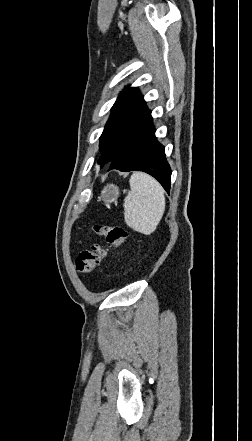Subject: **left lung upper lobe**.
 <instances>
[{
	"instance_id": "1",
	"label": "left lung upper lobe",
	"mask_w": 252,
	"mask_h": 441,
	"mask_svg": "<svg viewBox=\"0 0 252 441\" xmlns=\"http://www.w3.org/2000/svg\"><path fill=\"white\" fill-rule=\"evenodd\" d=\"M146 103L137 88H125L112 107V114L100 137L101 167L110 163L128 130L143 112Z\"/></svg>"
}]
</instances>
